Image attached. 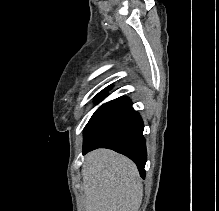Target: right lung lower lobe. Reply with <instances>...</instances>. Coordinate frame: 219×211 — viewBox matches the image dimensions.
<instances>
[{
    "label": "right lung lower lobe",
    "instance_id": "obj_1",
    "mask_svg": "<svg viewBox=\"0 0 219 211\" xmlns=\"http://www.w3.org/2000/svg\"><path fill=\"white\" fill-rule=\"evenodd\" d=\"M143 122L130 99L119 97L103 104L84 130L83 154L97 148H108L134 161L145 178L147 160Z\"/></svg>",
    "mask_w": 219,
    "mask_h": 211
}]
</instances>
